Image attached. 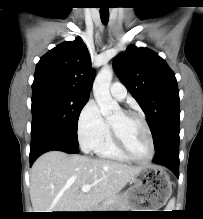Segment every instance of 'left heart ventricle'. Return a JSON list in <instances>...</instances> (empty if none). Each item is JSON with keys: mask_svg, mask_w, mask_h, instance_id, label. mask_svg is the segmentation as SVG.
<instances>
[{"mask_svg": "<svg viewBox=\"0 0 203 219\" xmlns=\"http://www.w3.org/2000/svg\"><path fill=\"white\" fill-rule=\"evenodd\" d=\"M110 122L119 130L130 153L138 159H146L150 154L149 139L141 120L126 116L118 111Z\"/></svg>", "mask_w": 203, "mask_h": 219, "instance_id": "obj_1", "label": "left heart ventricle"}]
</instances>
